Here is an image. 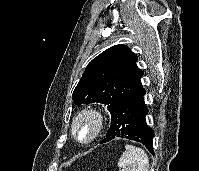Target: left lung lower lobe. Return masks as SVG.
<instances>
[{
	"label": "left lung lower lobe",
	"instance_id": "left-lung-lower-lobe-1",
	"mask_svg": "<svg viewBox=\"0 0 199 171\" xmlns=\"http://www.w3.org/2000/svg\"><path fill=\"white\" fill-rule=\"evenodd\" d=\"M146 91L142 84L129 94L111 114V126L101 143L115 138H126L141 142L153 152V130L146 123L149 110L144 103Z\"/></svg>",
	"mask_w": 199,
	"mask_h": 171
}]
</instances>
